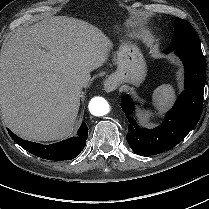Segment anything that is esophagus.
I'll return each mask as SVG.
<instances>
[{"mask_svg":"<svg viewBox=\"0 0 209 209\" xmlns=\"http://www.w3.org/2000/svg\"><path fill=\"white\" fill-rule=\"evenodd\" d=\"M117 86H118V84H117L116 79L114 77L107 78L103 84L104 90L107 92H112V91L116 90Z\"/></svg>","mask_w":209,"mask_h":209,"instance_id":"obj_1","label":"esophagus"}]
</instances>
